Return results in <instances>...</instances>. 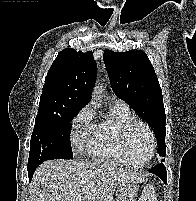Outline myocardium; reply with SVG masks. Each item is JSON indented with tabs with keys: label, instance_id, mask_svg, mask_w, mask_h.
<instances>
[{
	"label": "myocardium",
	"instance_id": "obj_1",
	"mask_svg": "<svg viewBox=\"0 0 196 201\" xmlns=\"http://www.w3.org/2000/svg\"><path fill=\"white\" fill-rule=\"evenodd\" d=\"M136 126L143 127L148 132L149 137H150V141H151L150 155H149L148 159L141 164L133 163L131 161L130 152H129V136H130L131 131ZM121 145H122V150L124 152V155L127 159L128 164L133 166V167H139V168L147 166L152 161V159L154 158L156 150H157V140H156V136H155L153 129L151 128V126L148 123H146L145 121L140 120V119H134V120L128 122L123 127L122 133H121Z\"/></svg>",
	"mask_w": 196,
	"mask_h": 201
}]
</instances>
